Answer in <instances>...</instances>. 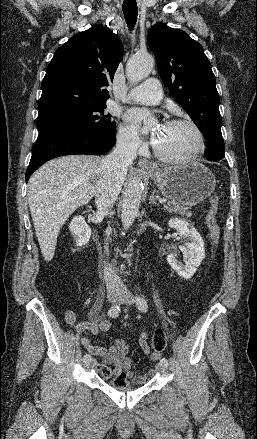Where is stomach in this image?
<instances>
[{
  "instance_id": "1",
  "label": "stomach",
  "mask_w": 257,
  "mask_h": 439,
  "mask_svg": "<svg viewBox=\"0 0 257 439\" xmlns=\"http://www.w3.org/2000/svg\"><path fill=\"white\" fill-rule=\"evenodd\" d=\"M160 192L183 206H195L215 190L214 174L203 164L190 162L148 172Z\"/></svg>"
}]
</instances>
